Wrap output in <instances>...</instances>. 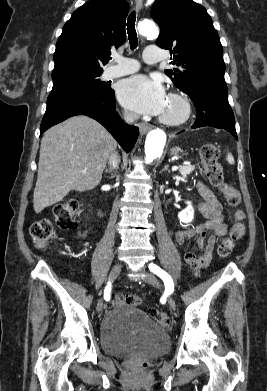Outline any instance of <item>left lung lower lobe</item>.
Returning a JSON list of instances; mask_svg holds the SVG:
<instances>
[{"label": "left lung lower lobe", "mask_w": 267, "mask_h": 391, "mask_svg": "<svg viewBox=\"0 0 267 391\" xmlns=\"http://www.w3.org/2000/svg\"><path fill=\"white\" fill-rule=\"evenodd\" d=\"M193 100L197 119L192 128L211 126L225 129L236 139L235 119L228 103V90L224 84L203 82L185 91Z\"/></svg>", "instance_id": "left-lung-lower-lobe-1"}]
</instances>
